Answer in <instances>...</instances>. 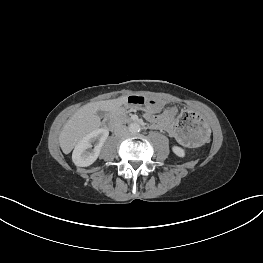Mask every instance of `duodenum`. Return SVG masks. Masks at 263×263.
<instances>
[{"label":"duodenum","instance_id":"1","mask_svg":"<svg viewBox=\"0 0 263 263\" xmlns=\"http://www.w3.org/2000/svg\"><path fill=\"white\" fill-rule=\"evenodd\" d=\"M104 124L106 127L112 129L115 126V120L112 115H107L104 119Z\"/></svg>","mask_w":263,"mask_h":263}]
</instances>
